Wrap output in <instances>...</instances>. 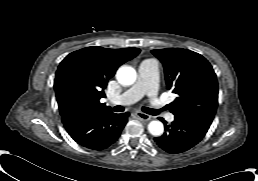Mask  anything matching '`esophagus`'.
Listing matches in <instances>:
<instances>
[{
  "label": "esophagus",
  "mask_w": 258,
  "mask_h": 181,
  "mask_svg": "<svg viewBox=\"0 0 258 181\" xmlns=\"http://www.w3.org/2000/svg\"><path fill=\"white\" fill-rule=\"evenodd\" d=\"M137 117L143 121H149L151 120V116L146 114V113H143V112H137L136 113Z\"/></svg>",
  "instance_id": "1"
}]
</instances>
